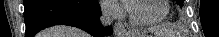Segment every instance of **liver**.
<instances>
[{
	"label": "liver",
	"mask_w": 219,
	"mask_h": 37,
	"mask_svg": "<svg viewBox=\"0 0 219 37\" xmlns=\"http://www.w3.org/2000/svg\"><path fill=\"white\" fill-rule=\"evenodd\" d=\"M41 37H89V34L72 27L57 26L43 31Z\"/></svg>",
	"instance_id": "6515ba94"
}]
</instances>
